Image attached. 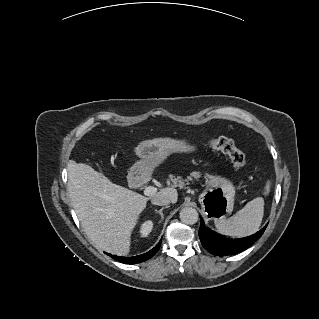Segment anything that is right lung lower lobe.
Here are the masks:
<instances>
[{"mask_svg":"<svg viewBox=\"0 0 319 319\" xmlns=\"http://www.w3.org/2000/svg\"><path fill=\"white\" fill-rule=\"evenodd\" d=\"M160 244L161 242H159L153 249H151L150 251L142 255H138L134 257H121V256L112 255V258L123 263H138V262L146 261L156 254V252L160 248Z\"/></svg>","mask_w":319,"mask_h":319,"instance_id":"98d812e1","label":"right lung lower lobe"}]
</instances>
